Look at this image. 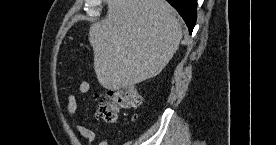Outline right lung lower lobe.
<instances>
[{
    "label": "right lung lower lobe",
    "instance_id": "right-lung-lower-lobe-1",
    "mask_svg": "<svg viewBox=\"0 0 276 145\" xmlns=\"http://www.w3.org/2000/svg\"><path fill=\"white\" fill-rule=\"evenodd\" d=\"M182 16L186 22L189 32L192 30L196 23L197 13V0H167Z\"/></svg>",
    "mask_w": 276,
    "mask_h": 145
}]
</instances>
